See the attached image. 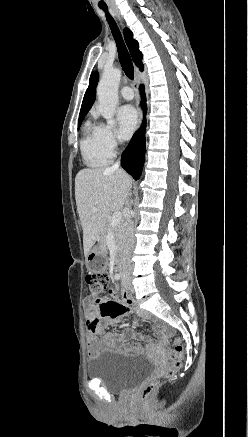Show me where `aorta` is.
I'll list each match as a JSON object with an SVG mask.
<instances>
[{
	"mask_svg": "<svg viewBox=\"0 0 248 437\" xmlns=\"http://www.w3.org/2000/svg\"><path fill=\"white\" fill-rule=\"evenodd\" d=\"M121 80L119 69L105 70L97 87L99 111L110 126L115 124L114 115L118 104V87Z\"/></svg>",
	"mask_w": 248,
	"mask_h": 437,
	"instance_id": "obj_1",
	"label": "aorta"
}]
</instances>
